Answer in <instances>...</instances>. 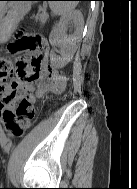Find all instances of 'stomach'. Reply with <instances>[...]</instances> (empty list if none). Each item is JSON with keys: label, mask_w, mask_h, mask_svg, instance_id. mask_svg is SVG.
I'll return each mask as SVG.
<instances>
[{"label": "stomach", "mask_w": 137, "mask_h": 189, "mask_svg": "<svg viewBox=\"0 0 137 189\" xmlns=\"http://www.w3.org/2000/svg\"><path fill=\"white\" fill-rule=\"evenodd\" d=\"M17 6L18 4H16V2H8L0 11V29H2V31L4 29H10L13 25V21L18 15L16 10Z\"/></svg>", "instance_id": "stomach-1"}]
</instances>
